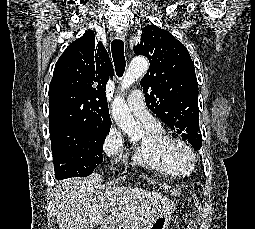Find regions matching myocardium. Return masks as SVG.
I'll return each instance as SVG.
<instances>
[{
  "instance_id": "myocardium-1",
  "label": "myocardium",
  "mask_w": 255,
  "mask_h": 229,
  "mask_svg": "<svg viewBox=\"0 0 255 229\" xmlns=\"http://www.w3.org/2000/svg\"><path fill=\"white\" fill-rule=\"evenodd\" d=\"M179 147L186 153V158L184 160H176L173 156V148ZM158 152L171 163L178 166H187L193 169V165L196 160V154L193 148L183 139L166 136L165 138L159 140L157 143Z\"/></svg>"
}]
</instances>
